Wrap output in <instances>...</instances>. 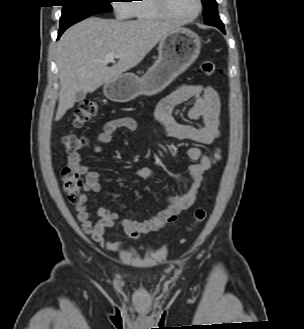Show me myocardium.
<instances>
[{
    "label": "myocardium",
    "mask_w": 304,
    "mask_h": 329,
    "mask_svg": "<svg viewBox=\"0 0 304 329\" xmlns=\"http://www.w3.org/2000/svg\"><path fill=\"white\" fill-rule=\"evenodd\" d=\"M197 2H198V9L196 13L192 16L184 17V16L176 15L171 11L168 0H155L158 9L165 16V18L178 22H190L197 19L200 16V14L203 11V1L197 0Z\"/></svg>",
    "instance_id": "1"
}]
</instances>
